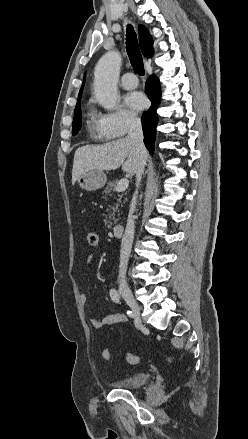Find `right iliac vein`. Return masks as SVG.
<instances>
[{
  "label": "right iliac vein",
  "mask_w": 248,
  "mask_h": 439,
  "mask_svg": "<svg viewBox=\"0 0 248 439\" xmlns=\"http://www.w3.org/2000/svg\"><path fill=\"white\" fill-rule=\"evenodd\" d=\"M121 294L129 307L132 309V312L136 318V321L139 325H141V317H140V307L137 303V301L134 299L132 292L129 288L123 287L121 288Z\"/></svg>",
  "instance_id": "63e3f726"
}]
</instances>
